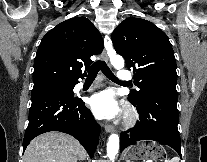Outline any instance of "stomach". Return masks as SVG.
Instances as JSON below:
<instances>
[{
    "label": "stomach",
    "mask_w": 207,
    "mask_h": 162,
    "mask_svg": "<svg viewBox=\"0 0 207 162\" xmlns=\"http://www.w3.org/2000/svg\"><path fill=\"white\" fill-rule=\"evenodd\" d=\"M165 155V149L155 142H139L128 148L124 153L127 162H133L134 160L164 159Z\"/></svg>",
    "instance_id": "1"
}]
</instances>
